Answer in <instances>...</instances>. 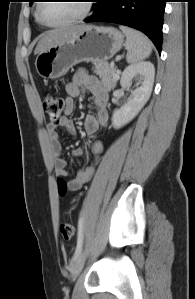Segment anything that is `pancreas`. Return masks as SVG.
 <instances>
[{
    "label": "pancreas",
    "mask_w": 195,
    "mask_h": 299,
    "mask_svg": "<svg viewBox=\"0 0 195 299\" xmlns=\"http://www.w3.org/2000/svg\"><path fill=\"white\" fill-rule=\"evenodd\" d=\"M115 71L116 69L107 61L95 64L93 67V72L101 78V82L107 90L113 89L119 79L114 77Z\"/></svg>",
    "instance_id": "1"
}]
</instances>
